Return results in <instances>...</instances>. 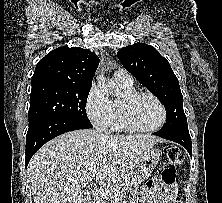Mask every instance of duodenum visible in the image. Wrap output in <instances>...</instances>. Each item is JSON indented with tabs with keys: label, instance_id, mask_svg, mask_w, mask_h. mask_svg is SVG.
Instances as JSON below:
<instances>
[{
	"label": "duodenum",
	"instance_id": "obj_1",
	"mask_svg": "<svg viewBox=\"0 0 222 203\" xmlns=\"http://www.w3.org/2000/svg\"><path fill=\"white\" fill-rule=\"evenodd\" d=\"M100 201V192L92 191L89 195V203H99Z\"/></svg>",
	"mask_w": 222,
	"mask_h": 203
}]
</instances>
